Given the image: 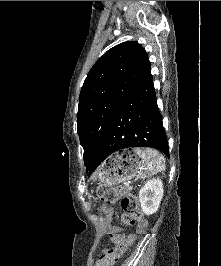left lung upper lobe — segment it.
Listing matches in <instances>:
<instances>
[{"label":"left lung upper lobe","instance_id":"1","mask_svg":"<svg viewBox=\"0 0 221 266\" xmlns=\"http://www.w3.org/2000/svg\"><path fill=\"white\" fill-rule=\"evenodd\" d=\"M145 49L135 41L109 49L91 68L79 97L77 132L89 166L118 109L129 93L151 75Z\"/></svg>","mask_w":221,"mask_h":266}]
</instances>
